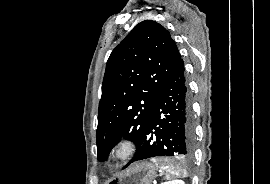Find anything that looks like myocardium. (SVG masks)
Wrapping results in <instances>:
<instances>
[{"label":"myocardium","instance_id":"1","mask_svg":"<svg viewBox=\"0 0 270 184\" xmlns=\"http://www.w3.org/2000/svg\"><path fill=\"white\" fill-rule=\"evenodd\" d=\"M137 144L135 139L128 134L121 135L111 146L107 153V161L112 165L126 163L135 154Z\"/></svg>","mask_w":270,"mask_h":184}]
</instances>
